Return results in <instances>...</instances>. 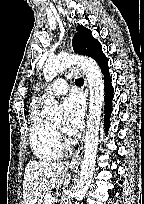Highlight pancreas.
Listing matches in <instances>:
<instances>
[{
    "label": "pancreas",
    "instance_id": "cf45deb5",
    "mask_svg": "<svg viewBox=\"0 0 144 204\" xmlns=\"http://www.w3.org/2000/svg\"><path fill=\"white\" fill-rule=\"evenodd\" d=\"M49 196H52V193L51 192H45V193H43L42 195H41V197H40V200H39V202H38V204H47V198L49 197ZM53 204V203H52Z\"/></svg>",
    "mask_w": 144,
    "mask_h": 204
}]
</instances>
